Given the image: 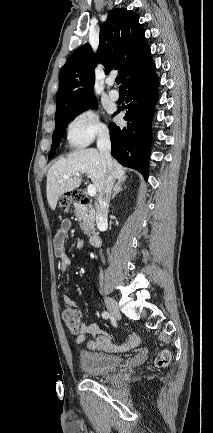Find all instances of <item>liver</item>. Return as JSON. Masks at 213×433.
<instances>
[{
    "label": "liver",
    "instance_id": "6515ba94",
    "mask_svg": "<svg viewBox=\"0 0 213 433\" xmlns=\"http://www.w3.org/2000/svg\"><path fill=\"white\" fill-rule=\"evenodd\" d=\"M79 172L87 174L91 179L97 192H101L106 177L108 175V166L104 157L97 149H80L76 150L66 158H61L55 162L47 173L46 193L48 204L51 209H55L59 197L67 192L78 188L82 178L80 176L69 177L64 179V175ZM112 172L114 179L124 181L125 168L116 160H112Z\"/></svg>",
    "mask_w": 213,
    "mask_h": 433
}]
</instances>
